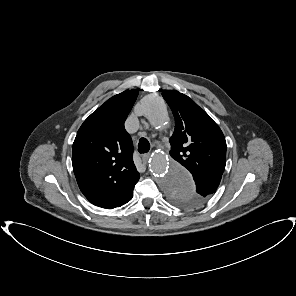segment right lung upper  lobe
<instances>
[{
  "label": "right lung upper lobe",
  "instance_id": "1",
  "mask_svg": "<svg viewBox=\"0 0 296 296\" xmlns=\"http://www.w3.org/2000/svg\"><path fill=\"white\" fill-rule=\"evenodd\" d=\"M138 96L132 89L107 100L81 125L72 165L81 192L94 205L112 209L129 202L140 178L124 122Z\"/></svg>",
  "mask_w": 296,
  "mask_h": 296
}]
</instances>
